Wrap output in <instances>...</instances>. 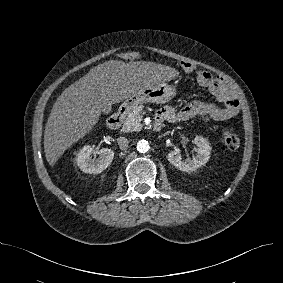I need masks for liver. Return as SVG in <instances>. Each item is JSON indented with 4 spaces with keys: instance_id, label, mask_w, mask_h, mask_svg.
Listing matches in <instances>:
<instances>
[{
    "instance_id": "liver-1",
    "label": "liver",
    "mask_w": 283,
    "mask_h": 283,
    "mask_svg": "<svg viewBox=\"0 0 283 283\" xmlns=\"http://www.w3.org/2000/svg\"><path fill=\"white\" fill-rule=\"evenodd\" d=\"M178 71L154 62L110 60L68 86L54 103L44 131V152L54 166L60 156L87 135L105 110L133 93L170 81Z\"/></svg>"
}]
</instances>
